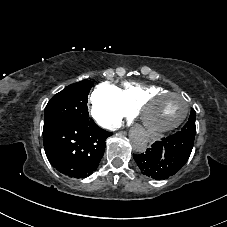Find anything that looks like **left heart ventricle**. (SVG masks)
Here are the masks:
<instances>
[{"label": "left heart ventricle", "mask_w": 227, "mask_h": 227, "mask_svg": "<svg viewBox=\"0 0 227 227\" xmlns=\"http://www.w3.org/2000/svg\"><path fill=\"white\" fill-rule=\"evenodd\" d=\"M185 106V100L180 96H162L142 111L144 124L153 128L169 127L183 115Z\"/></svg>", "instance_id": "left-heart-ventricle-1"}]
</instances>
